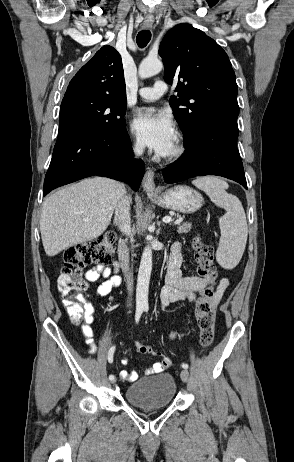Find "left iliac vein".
I'll return each instance as SVG.
<instances>
[{
    "mask_svg": "<svg viewBox=\"0 0 294 462\" xmlns=\"http://www.w3.org/2000/svg\"><path fill=\"white\" fill-rule=\"evenodd\" d=\"M181 379H182L183 382H187V381H188V379H189V372H188V370H186V369L182 370V372H181Z\"/></svg>",
    "mask_w": 294,
    "mask_h": 462,
    "instance_id": "obj_1",
    "label": "left iliac vein"
}]
</instances>
